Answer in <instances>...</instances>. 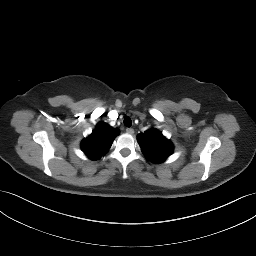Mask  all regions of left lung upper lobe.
<instances>
[{"label":"left lung upper lobe","mask_w":256,"mask_h":256,"mask_svg":"<svg viewBox=\"0 0 256 256\" xmlns=\"http://www.w3.org/2000/svg\"><path fill=\"white\" fill-rule=\"evenodd\" d=\"M138 143L144 155L151 161L160 163L172 153L173 145L157 129H150L140 133Z\"/></svg>","instance_id":"5c2ea615"}]
</instances>
